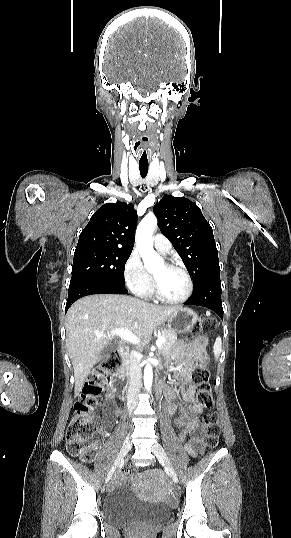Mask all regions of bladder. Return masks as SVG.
<instances>
[{
  "mask_svg": "<svg viewBox=\"0 0 291 538\" xmlns=\"http://www.w3.org/2000/svg\"><path fill=\"white\" fill-rule=\"evenodd\" d=\"M169 512V509L162 504L140 500L126 484L110 491L103 503L105 519L113 525H127L137 519L162 520L169 515Z\"/></svg>",
  "mask_w": 291,
  "mask_h": 538,
  "instance_id": "1",
  "label": "bladder"
}]
</instances>
